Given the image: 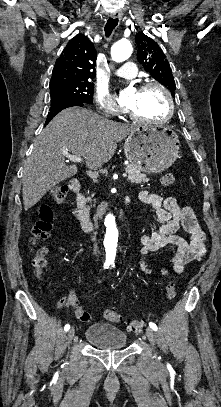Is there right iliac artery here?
Returning <instances> with one entry per match:
<instances>
[{
	"label": "right iliac artery",
	"instance_id": "obj_1",
	"mask_svg": "<svg viewBox=\"0 0 221 407\" xmlns=\"http://www.w3.org/2000/svg\"><path fill=\"white\" fill-rule=\"evenodd\" d=\"M108 266H109L108 264H105L104 268L106 269V268H108ZM69 329H70V325L69 324L65 325L64 330L67 332Z\"/></svg>",
	"mask_w": 221,
	"mask_h": 407
}]
</instances>
